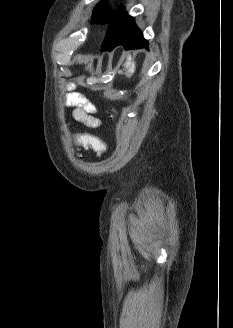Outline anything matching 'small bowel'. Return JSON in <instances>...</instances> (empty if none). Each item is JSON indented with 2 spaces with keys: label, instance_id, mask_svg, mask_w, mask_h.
Segmentation results:
<instances>
[{
  "label": "small bowel",
  "instance_id": "c3829d8e",
  "mask_svg": "<svg viewBox=\"0 0 233 328\" xmlns=\"http://www.w3.org/2000/svg\"><path fill=\"white\" fill-rule=\"evenodd\" d=\"M70 89H74V86L70 85ZM66 103L74 107L73 117L75 120L90 128H98L102 125V121L94 116L95 106L80 93H69L66 97Z\"/></svg>",
  "mask_w": 233,
  "mask_h": 328
}]
</instances>
